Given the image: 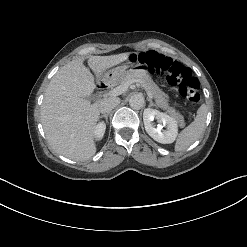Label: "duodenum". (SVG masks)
<instances>
[{"mask_svg": "<svg viewBox=\"0 0 247 247\" xmlns=\"http://www.w3.org/2000/svg\"><path fill=\"white\" fill-rule=\"evenodd\" d=\"M105 87H106L105 84L101 81L96 83V88L99 90H103Z\"/></svg>", "mask_w": 247, "mask_h": 247, "instance_id": "duodenum-1", "label": "duodenum"}]
</instances>
